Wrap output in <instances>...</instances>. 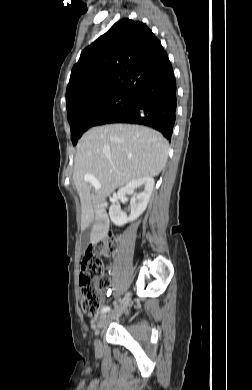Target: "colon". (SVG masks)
I'll use <instances>...</instances> for the list:
<instances>
[{"mask_svg": "<svg viewBox=\"0 0 252 390\" xmlns=\"http://www.w3.org/2000/svg\"><path fill=\"white\" fill-rule=\"evenodd\" d=\"M117 247V238L110 234L84 252L81 259L79 284L82 292V309L90 317H97L101 311V290L107 283L102 263L103 258L112 256Z\"/></svg>", "mask_w": 252, "mask_h": 390, "instance_id": "colon-1", "label": "colon"}]
</instances>
